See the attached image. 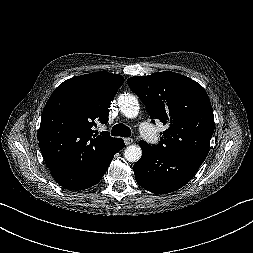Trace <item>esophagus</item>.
Here are the masks:
<instances>
[{"label": "esophagus", "instance_id": "esophagus-1", "mask_svg": "<svg viewBox=\"0 0 253 253\" xmlns=\"http://www.w3.org/2000/svg\"><path fill=\"white\" fill-rule=\"evenodd\" d=\"M124 143H125V145H130L133 143V139L132 138H124Z\"/></svg>", "mask_w": 253, "mask_h": 253}]
</instances>
